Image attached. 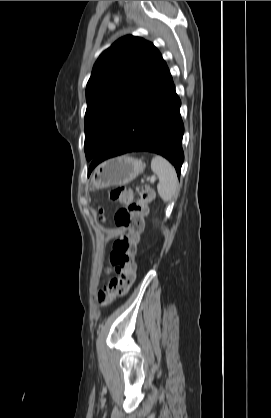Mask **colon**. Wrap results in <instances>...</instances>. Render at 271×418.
I'll list each match as a JSON object with an SVG mask.
<instances>
[{"label":"colon","mask_w":271,"mask_h":418,"mask_svg":"<svg viewBox=\"0 0 271 418\" xmlns=\"http://www.w3.org/2000/svg\"><path fill=\"white\" fill-rule=\"evenodd\" d=\"M155 195L151 188L143 186L138 190V198H133V190L117 187L110 192V199L122 204L116 211V226L123 232L114 242L110 254V263L116 275L107 288L98 293V302L105 305L113 296L124 295L135 281L136 264L134 256L143 229V220L149 210V204Z\"/></svg>","instance_id":"colon-1"}]
</instances>
